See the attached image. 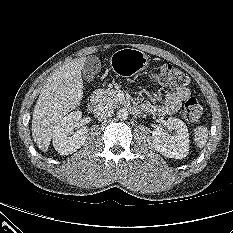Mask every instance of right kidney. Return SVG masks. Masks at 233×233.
<instances>
[{"label":"right kidney","instance_id":"obj_1","mask_svg":"<svg viewBox=\"0 0 233 233\" xmlns=\"http://www.w3.org/2000/svg\"><path fill=\"white\" fill-rule=\"evenodd\" d=\"M80 111H73L59 121L53 131V146L61 155H68L75 152L84 144L87 138L88 129L82 127L74 130V125L81 119Z\"/></svg>","mask_w":233,"mask_h":233}]
</instances>
